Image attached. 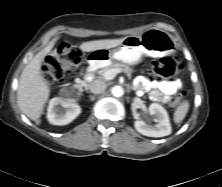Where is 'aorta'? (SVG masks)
Wrapping results in <instances>:
<instances>
[{
	"instance_id": "obj_1",
	"label": "aorta",
	"mask_w": 222,
	"mask_h": 187,
	"mask_svg": "<svg viewBox=\"0 0 222 187\" xmlns=\"http://www.w3.org/2000/svg\"><path fill=\"white\" fill-rule=\"evenodd\" d=\"M111 94L114 96V97H122L123 94H124V90L121 86L119 85H116V86H113L111 88Z\"/></svg>"
}]
</instances>
